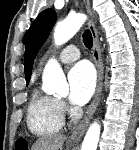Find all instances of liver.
<instances>
[{"mask_svg": "<svg viewBox=\"0 0 139 150\" xmlns=\"http://www.w3.org/2000/svg\"><path fill=\"white\" fill-rule=\"evenodd\" d=\"M65 140L66 136L61 134L44 136L33 144L31 150H60Z\"/></svg>", "mask_w": 139, "mask_h": 150, "instance_id": "liver-1", "label": "liver"}]
</instances>
